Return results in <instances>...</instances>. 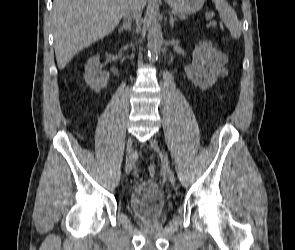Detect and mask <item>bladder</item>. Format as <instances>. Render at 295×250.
<instances>
[{
	"label": "bladder",
	"mask_w": 295,
	"mask_h": 250,
	"mask_svg": "<svg viewBox=\"0 0 295 250\" xmlns=\"http://www.w3.org/2000/svg\"><path fill=\"white\" fill-rule=\"evenodd\" d=\"M129 203L133 213L145 219L156 218L165 209L164 193L153 180L138 184L131 192Z\"/></svg>",
	"instance_id": "1"
}]
</instances>
